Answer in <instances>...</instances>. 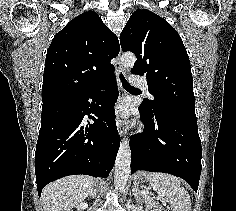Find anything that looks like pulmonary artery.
Segmentation results:
<instances>
[{"label": "pulmonary artery", "mask_w": 236, "mask_h": 211, "mask_svg": "<svg viewBox=\"0 0 236 211\" xmlns=\"http://www.w3.org/2000/svg\"><path fill=\"white\" fill-rule=\"evenodd\" d=\"M131 82H132V84H133L134 86H137V87H139V88L142 89V90L148 91V84H147L146 79H144V78H139V77H137V76H133ZM149 97L152 98V95L149 94Z\"/></svg>", "instance_id": "obj_1"}]
</instances>
